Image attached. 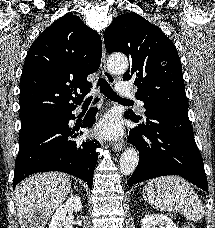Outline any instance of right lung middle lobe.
<instances>
[{"label": "right lung middle lobe", "instance_id": "1", "mask_svg": "<svg viewBox=\"0 0 215 228\" xmlns=\"http://www.w3.org/2000/svg\"><path fill=\"white\" fill-rule=\"evenodd\" d=\"M60 120H62V115H52V116H46L32 121L21 123V131L19 136L28 134L43 125L57 122Z\"/></svg>", "mask_w": 215, "mask_h": 228}]
</instances>
